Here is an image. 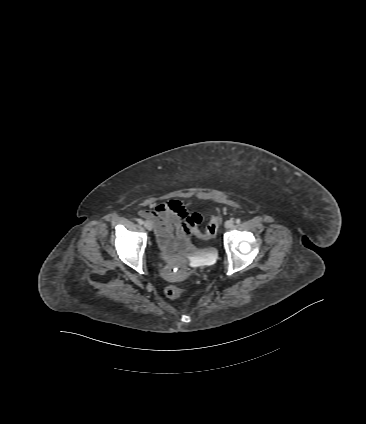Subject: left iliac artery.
Segmentation results:
<instances>
[{"mask_svg": "<svg viewBox=\"0 0 366 424\" xmlns=\"http://www.w3.org/2000/svg\"><path fill=\"white\" fill-rule=\"evenodd\" d=\"M237 224H240L241 223V220L240 219H236V221H235Z\"/></svg>", "mask_w": 366, "mask_h": 424, "instance_id": "left-iliac-artery-1", "label": "left iliac artery"}]
</instances>
